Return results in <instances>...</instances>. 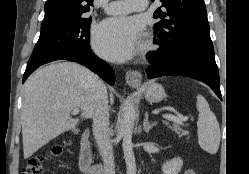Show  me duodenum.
Returning a JSON list of instances; mask_svg holds the SVG:
<instances>
[{"label":"duodenum","instance_id":"410a0bca","mask_svg":"<svg viewBox=\"0 0 249 174\" xmlns=\"http://www.w3.org/2000/svg\"><path fill=\"white\" fill-rule=\"evenodd\" d=\"M93 154L90 145V131L86 129L81 137L79 169L82 174H105L106 168L101 164H93Z\"/></svg>","mask_w":249,"mask_h":174}]
</instances>
